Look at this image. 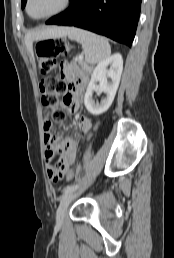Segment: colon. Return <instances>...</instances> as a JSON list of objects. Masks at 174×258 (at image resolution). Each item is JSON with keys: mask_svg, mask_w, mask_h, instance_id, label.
<instances>
[{"mask_svg": "<svg viewBox=\"0 0 174 258\" xmlns=\"http://www.w3.org/2000/svg\"><path fill=\"white\" fill-rule=\"evenodd\" d=\"M67 44L60 39H45L38 41L35 52L38 58L40 70L48 74L54 68L57 58L66 54ZM42 94V103L47 109V114L53 122L61 123L65 120V111L59 105V98L67 91V83L56 77H47L39 85ZM67 180H73L75 172L70 169L66 173Z\"/></svg>", "mask_w": 174, "mask_h": 258, "instance_id": "5ec220e1", "label": "colon"}]
</instances>
